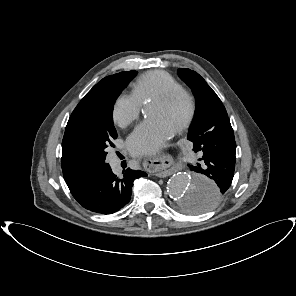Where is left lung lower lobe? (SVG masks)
Returning <instances> with one entry per match:
<instances>
[{
    "label": "left lung lower lobe",
    "instance_id": "left-lung-lower-lobe-1",
    "mask_svg": "<svg viewBox=\"0 0 296 296\" xmlns=\"http://www.w3.org/2000/svg\"><path fill=\"white\" fill-rule=\"evenodd\" d=\"M205 146L202 149V165L189 166L196 176H205L214 180L218 191L202 199L193 200L194 212H202L219 201L231 186L235 169L236 143L230 120L217 124L204 134Z\"/></svg>",
    "mask_w": 296,
    "mask_h": 296
}]
</instances>
